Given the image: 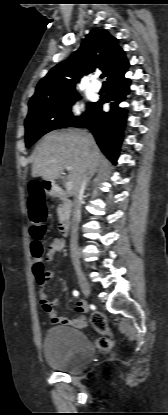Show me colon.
Instances as JSON below:
<instances>
[{
    "label": "colon",
    "instance_id": "colon-1",
    "mask_svg": "<svg viewBox=\"0 0 168 415\" xmlns=\"http://www.w3.org/2000/svg\"><path fill=\"white\" fill-rule=\"evenodd\" d=\"M30 235L33 239L31 243V253L34 257V273L40 283L48 279V274L44 270V246L41 240L45 236L46 226L44 220L46 216L44 198L38 186L30 187L28 200ZM94 329L103 336L96 341L97 347L101 350H109L113 347V334L107 325L106 317L100 312H95L91 316Z\"/></svg>",
    "mask_w": 168,
    "mask_h": 415
}]
</instances>
